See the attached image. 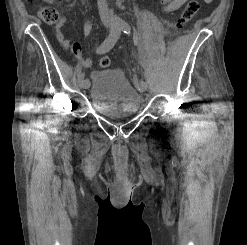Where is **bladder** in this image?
Returning <instances> with one entry per match:
<instances>
[{"mask_svg": "<svg viewBox=\"0 0 247 245\" xmlns=\"http://www.w3.org/2000/svg\"><path fill=\"white\" fill-rule=\"evenodd\" d=\"M89 98L101 115L117 117L136 114L141 97L120 69H100L92 73Z\"/></svg>", "mask_w": 247, "mask_h": 245, "instance_id": "31cf9c89", "label": "bladder"}]
</instances>
